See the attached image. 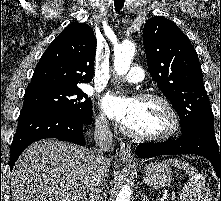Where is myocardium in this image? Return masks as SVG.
<instances>
[{
	"label": "myocardium",
	"mask_w": 221,
	"mask_h": 201,
	"mask_svg": "<svg viewBox=\"0 0 221 201\" xmlns=\"http://www.w3.org/2000/svg\"><path fill=\"white\" fill-rule=\"evenodd\" d=\"M137 101H157L159 102L167 112L170 120L169 129L162 134H140L129 130L123 124L121 130L128 136L145 141H166L173 138L180 130L179 116L172 105V103L163 95L157 93H142L136 96Z\"/></svg>",
	"instance_id": "myocardium-1"
}]
</instances>
